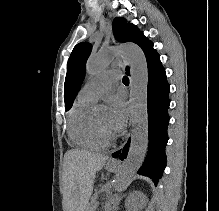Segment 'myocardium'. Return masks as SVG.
Returning a JSON list of instances; mask_svg holds the SVG:
<instances>
[{"label":"myocardium","instance_id":"f54148a6","mask_svg":"<svg viewBox=\"0 0 219 211\" xmlns=\"http://www.w3.org/2000/svg\"><path fill=\"white\" fill-rule=\"evenodd\" d=\"M94 121L99 132L104 138L109 140H115L117 138L116 133L111 128L103 126L96 118H94Z\"/></svg>","mask_w":219,"mask_h":211}]
</instances>
